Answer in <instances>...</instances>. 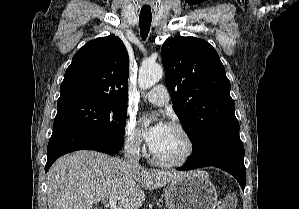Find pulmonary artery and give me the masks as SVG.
Returning <instances> with one entry per match:
<instances>
[{"instance_id": "1", "label": "pulmonary artery", "mask_w": 299, "mask_h": 209, "mask_svg": "<svg viewBox=\"0 0 299 209\" xmlns=\"http://www.w3.org/2000/svg\"><path fill=\"white\" fill-rule=\"evenodd\" d=\"M143 99L155 105L163 106L169 101V93L165 86L156 85L150 91L143 95Z\"/></svg>"}]
</instances>
